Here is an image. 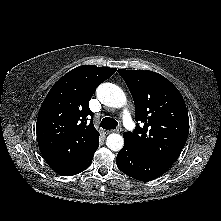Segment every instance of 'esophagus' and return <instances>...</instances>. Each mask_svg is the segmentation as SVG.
I'll return each instance as SVG.
<instances>
[{"mask_svg": "<svg viewBox=\"0 0 221 221\" xmlns=\"http://www.w3.org/2000/svg\"><path fill=\"white\" fill-rule=\"evenodd\" d=\"M123 129L121 128V127H118L117 129H115V130H109V131H107V133H114V132H117V133H119V132H121Z\"/></svg>", "mask_w": 221, "mask_h": 221, "instance_id": "obj_1", "label": "esophagus"}]
</instances>
